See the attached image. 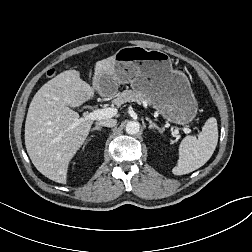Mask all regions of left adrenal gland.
Returning <instances> with one entry per match:
<instances>
[{"label": "left adrenal gland", "mask_w": 252, "mask_h": 252, "mask_svg": "<svg viewBox=\"0 0 252 252\" xmlns=\"http://www.w3.org/2000/svg\"><path fill=\"white\" fill-rule=\"evenodd\" d=\"M146 120L149 122V129H157L160 133H162L163 131L161 130V128H159L150 118L146 117Z\"/></svg>", "instance_id": "1"}]
</instances>
